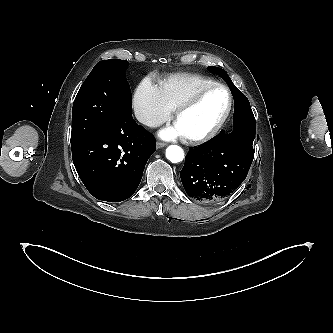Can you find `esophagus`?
<instances>
[{"instance_id": "esophagus-1", "label": "esophagus", "mask_w": 333, "mask_h": 333, "mask_svg": "<svg viewBox=\"0 0 333 333\" xmlns=\"http://www.w3.org/2000/svg\"><path fill=\"white\" fill-rule=\"evenodd\" d=\"M166 146V143H163V142H160V141H158L157 143H156V148L157 149H159V148H163V147H165Z\"/></svg>"}]
</instances>
